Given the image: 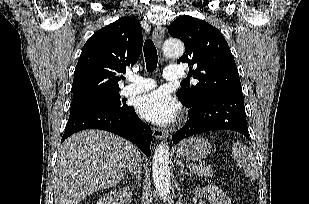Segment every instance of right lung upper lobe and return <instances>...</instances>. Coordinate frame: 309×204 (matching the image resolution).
I'll list each match as a JSON object with an SVG mask.
<instances>
[{
	"label": "right lung upper lobe",
	"mask_w": 309,
	"mask_h": 204,
	"mask_svg": "<svg viewBox=\"0 0 309 204\" xmlns=\"http://www.w3.org/2000/svg\"><path fill=\"white\" fill-rule=\"evenodd\" d=\"M142 43L141 25L130 17L94 33L75 68L72 104L119 92L120 74L137 62Z\"/></svg>",
	"instance_id": "obj_1"
}]
</instances>
